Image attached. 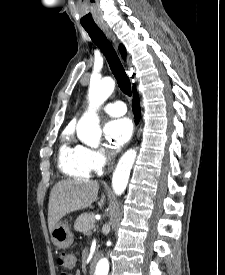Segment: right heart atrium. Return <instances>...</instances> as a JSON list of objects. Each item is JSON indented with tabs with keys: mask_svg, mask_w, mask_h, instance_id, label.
I'll list each match as a JSON object with an SVG mask.
<instances>
[{
	"mask_svg": "<svg viewBox=\"0 0 225 275\" xmlns=\"http://www.w3.org/2000/svg\"><path fill=\"white\" fill-rule=\"evenodd\" d=\"M83 157L92 171H101L108 165L113 156L104 149L80 147Z\"/></svg>",
	"mask_w": 225,
	"mask_h": 275,
	"instance_id": "d8ad5b80",
	"label": "right heart atrium"
}]
</instances>
